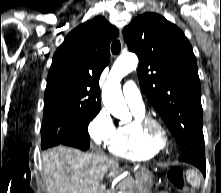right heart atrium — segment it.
Here are the masks:
<instances>
[{"label":"right heart atrium","instance_id":"obj_1","mask_svg":"<svg viewBox=\"0 0 221 193\" xmlns=\"http://www.w3.org/2000/svg\"><path fill=\"white\" fill-rule=\"evenodd\" d=\"M116 131L115 122L105 108H101L88 125L91 139L99 146H108Z\"/></svg>","mask_w":221,"mask_h":193}]
</instances>
